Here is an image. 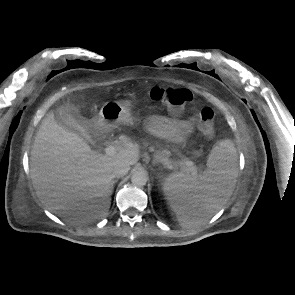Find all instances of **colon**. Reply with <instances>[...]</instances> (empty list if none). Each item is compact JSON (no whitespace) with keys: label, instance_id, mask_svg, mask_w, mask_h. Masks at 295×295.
<instances>
[{"label":"colon","instance_id":"5ec220e1","mask_svg":"<svg viewBox=\"0 0 295 295\" xmlns=\"http://www.w3.org/2000/svg\"><path fill=\"white\" fill-rule=\"evenodd\" d=\"M148 97L165 105L173 113H179L193 101L192 93L187 89L165 88L155 86L148 90ZM215 114L212 109L204 108L199 115L198 127L202 134L210 136L214 133Z\"/></svg>","mask_w":295,"mask_h":295}]
</instances>
